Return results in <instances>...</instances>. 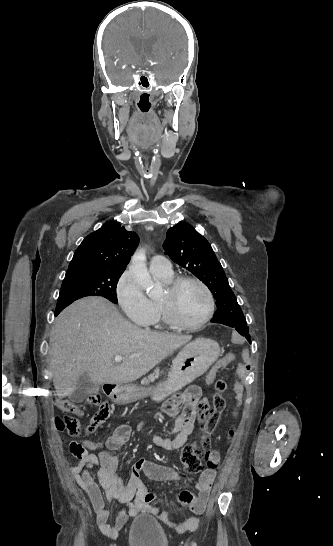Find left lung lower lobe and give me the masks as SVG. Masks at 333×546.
<instances>
[{"instance_id":"left-lung-lower-lobe-1","label":"left lung lower lobe","mask_w":333,"mask_h":546,"mask_svg":"<svg viewBox=\"0 0 333 546\" xmlns=\"http://www.w3.org/2000/svg\"><path fill=\"white\" fill-rule=\"evenodd\" d=\"M211 322L213 323H221V324H224L223 321L217 317H213L211 319ZM224 325H227V324H224ZM229 326V325H227ZM231 327V326H230ZM236 328V330L244 337H246V339L249 341V343H251V337L250 335L248 334L249 332V328L247 325H242V326H239V327H234Z\"/></svg>"}]
</instances>
